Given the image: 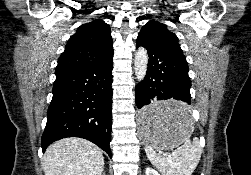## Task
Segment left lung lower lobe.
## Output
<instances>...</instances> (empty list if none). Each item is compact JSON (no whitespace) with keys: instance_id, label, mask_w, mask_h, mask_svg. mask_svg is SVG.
<instances>
[{"instance_id":"left-lung-lower-lobe-1","label":"left lung lower lobe","mask_w":251,"mask_h":175,"mask_svg":"<svg viewBox=\"0 0 251 175\" xmlns=\"http://www.w3.org/2000/svg\"><path fill=\"white\" fill-rule=\"evenodd\" d=\"M148 51L146 76L135 89L138 120L145 126L177 123L192 115L188 64L176 49L158 43L145 35H138L136 47ZM176 99L181 104H156V101Z\"/></svg>"}]
</instances>
